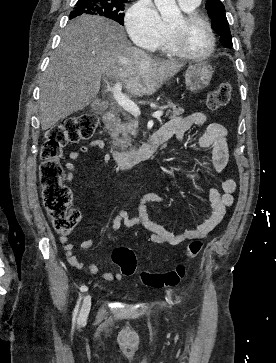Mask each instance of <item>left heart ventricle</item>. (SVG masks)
<instances>
[{"mask_svg": "<svg viewBox=\"0 0 276 363\" xmlns=\"http://www.w3.org/2000/svg\"><path fill=\"white\" fill-rule=\"evenodd\" d=\"M171 26L181 30L182 42L190 52L203 54L209 49L210 37L203 23L196 22L189 26H184L183 17H180Z\"/></svg>", "mask_w": 276, "mask_h": 363, "instance_id": "obj_1", "label": "left heart ventricle"}]
</instances>
